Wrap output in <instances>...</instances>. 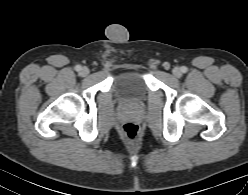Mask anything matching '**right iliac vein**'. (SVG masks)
<instances>
[{
	"label": "right iliac vein",
	"instance_id": "1",
	"mask_svg": "<svg viewBox=\"0 0 248 195\" xmlns=\"http://www.w3.org/2000/svg\"><path fill=\"white\" fill-rule=\"evenodd\" d=\"M81 74H82L83 76H87V75L89 74V69H88L87 67H83V68L81 69Z\"/></svg>",
	"mask_w": 248,
	"mask_h": 195
}]
</instances>
